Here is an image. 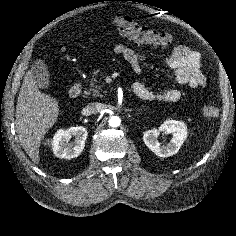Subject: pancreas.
Returning <instances> with one entry per match:
<instances>
[{"label":"pancreas","instance_id":"1","mask_svg":"<svg viewBox=\"0 0 236 236\" xmlns=\"http://www.w3.org/2000/svg\"><path fill=\"white\" fill-rule=\"evenodd\" d=\"M99 76H100L99 71H96L90 80L91 88L87 92H85L86 95H91L92 97H100V98L104 96L101 93V92L105 93V91L102 89L103 85L100 84L101 78H98Z\"/></svg>","mask_w":236,"mask_h":236}]
</instances>
